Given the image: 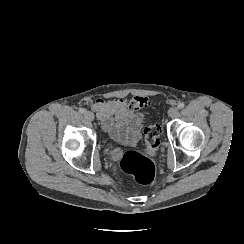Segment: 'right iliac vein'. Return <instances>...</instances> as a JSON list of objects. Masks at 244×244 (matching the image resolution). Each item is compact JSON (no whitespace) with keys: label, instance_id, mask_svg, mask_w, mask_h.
<instances>
[{"label":"right iliac vein","instance_id":"obj_1","mask_svg":"<svg viewBox=\"0 0 244 244\" xmlns=\"http://www.w3.org/2000/svg\"><path fill=\"white\" fill-rule=\"evenodd\" d=\"M84 116L87 120L93 121L94 120V114L90 111H85Z\"/></svg>","mask_w":244,"mask_h":244}]
</instances>
